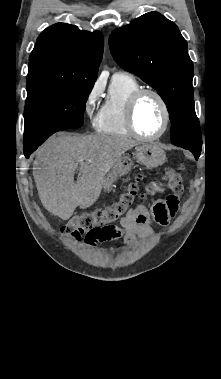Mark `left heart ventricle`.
Wrapping results in <instances>:
<instances>
[{
  "mask_svg": "<svg viewBox=\"0 0 221 379\" xmlns=\"http://www.w3.org/2000/svg\"><path fill=\"white\" fill-rule=\"evenodd\" d=\"M135 123L140 133L152 136L157 134L163 126L164 115L159 101L150 94H147L139 101Z\"/></svg>",
  "mask_w": 221,
  "mask_h": 379,
  "instance_id": "1",
  "label": "left heart ventricle"
}]
</instances>
